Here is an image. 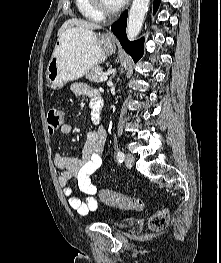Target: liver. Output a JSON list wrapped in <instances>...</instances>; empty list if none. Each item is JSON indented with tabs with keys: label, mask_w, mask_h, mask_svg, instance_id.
I'll use <instances>...</instances> for the list:
<instances>
[{
	"label": "liver",
	"mask_w": 221,
	"mask_h": 263,
	"mask_svg": "<svg viewBox=\"0 0 221 263\" xmlns=\"http://www.w3.org/2000/svg\"><path fill=\"white\" fill-rule=\"evenodd\" d=\"M101 27L95 23H91L89 21H85L82 19H68L63 23L61 28L58 30V36H60L64 31L68 29H84V30H89L93 31L95 29H100Z\"/></svg>",
	"instance_id": "1"
}]
</instances>
